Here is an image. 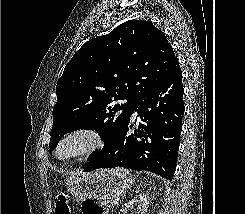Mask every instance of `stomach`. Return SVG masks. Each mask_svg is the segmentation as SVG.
Instances as JSON below:
<instances>
[{"label": "stomach", "mask_w": 245, "mask_h": 214, "mask_svg": "<svg viewBox=\"0 0 245 214\" xmlns=\"http://www.w3.org/2000/svg\"><path fill=\"white\" fill-rule=\"evenodd\" d=\"M133 181L132 175L126 169H100L72 175L67 181V189L78 200H113L126 193L132 187Z\"/></svg>", "instance_id": "obj_1"}]
</instances>
